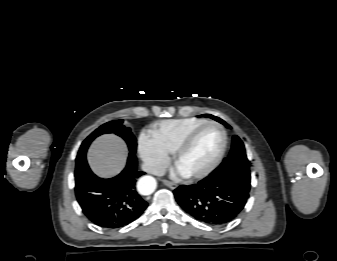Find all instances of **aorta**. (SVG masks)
<instances>
[{"label": "aorta", "mask_w": 337, "mask_h": 261, "mask_svg": "<svg viewBox=\"0 0 337 261\" xmlns=\"http://www.w3.org/2000/svg\"><path fill=\"white\" fill-rule=\"evenodd\" d=\"M156 180L151 176H143L139 179L137 188L140 194L150 195L156 189Z\"/></svg>", "instance_id": "1"}]
</instances>
